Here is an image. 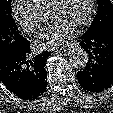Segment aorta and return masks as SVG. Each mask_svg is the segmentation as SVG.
Instances as JSON below:
<instances>
[{
	"label": "aorta",
	"mask_w": 113,
	"mask_h": 113,
	"mask_svg": "<svg viewBox=\"0 0 113 113\" xmlns=\"http://www.w3.org/2000/svg\"><path fill=\"white\" fill-rule=\"evenodd\" d=\"M67 55L69 57L70 63L75 68H84L88 63L87 52L78 44L71 45Z\"/></svg>",
	"instance_id": "1"
}]
</instances>
